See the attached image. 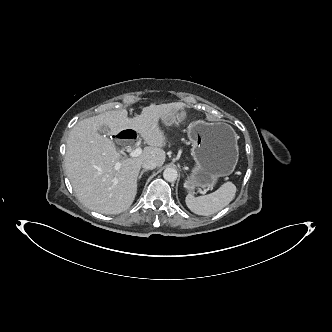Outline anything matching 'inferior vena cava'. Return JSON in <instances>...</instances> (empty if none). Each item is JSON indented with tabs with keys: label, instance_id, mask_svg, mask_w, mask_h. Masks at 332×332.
I'll use <instances>...</instances> for the list:
<instances>
[{
	"label": "inferior vena cava",
	"instance_id": "inferior-vena-cava-1",
	"mask_svg": "<svg viewBox=\"0 0 332 332\" xmlns=\"http://www.w3.org/2000/svg\"><path fill=\"white\" fill-rule=\"evenodd\" d=\"M142 167L145 170H153L157 167V163L154 160H145L142 162Z\"/></svg>",
	"mask_w": 332,
	"mask_h": 332
}]
</instances>
